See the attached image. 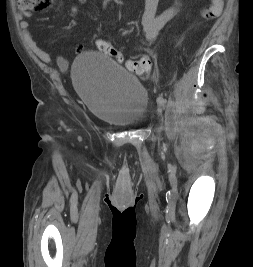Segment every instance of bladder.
I'll return each mask as SVG.
<instances>
[{"label":"bladder","mask_w":253,"mask_h":267,"mask_svg":"<svg viewBox=\"0 0 253 267\" xmlns=\"http://www.w3.org/2000/svg\"><path fill=\"white\" fill-rule=\"evenodd\" d=\"M71 74L75 89L98 119L118 127L144 121L150 101L147 89L106 54H79Z\"/></svg>","instance_id":"31cf9c89"}]
</instances>
